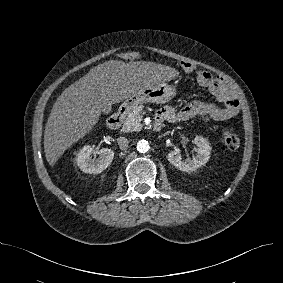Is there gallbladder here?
Masks as SVG:
<instances>
[{
	"mask_svg": "<svg viewBox=\"0 0 283 283\" xmlns=\"http://www.w3.org/2000/svg\"><path fill=\"white\" fill-rule=\"evenodd\" d=\"M104 113H105V114H108L109 112H108V110H105Z\"/></svg>",
	"mask_w": 283,
	"mask_h": 283,
	"instance_id": "gallbladder-1",
	"label": "gallbladder"
}]
</instances>
